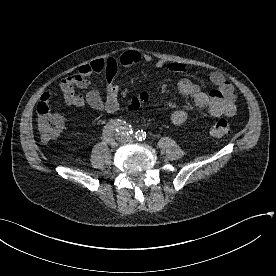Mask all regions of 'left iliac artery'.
I'll return each mask as SVG.
<instances>
[{
  "label": "left iliac artery",
  "mask_w": 276,
  "mask_h": 276,
  "mask_svg": "<svg viewBox=\"0 0 276 276\" xmlns=\"http://www.w3.org/2000/svg\"><path fill=\"white\" fill-rule=\"evenodd\" d=\"M135 137L137 140L142 141L146 138V132L143 130H137L135 133Z\"/></svg>",
  "instance_id": "1"
}]
</instances>
